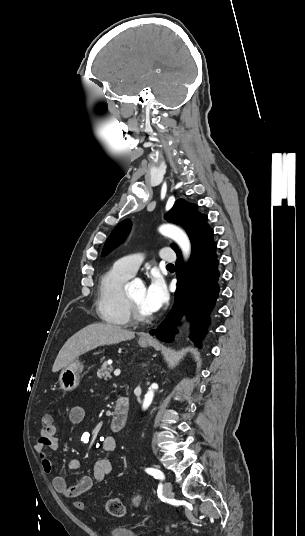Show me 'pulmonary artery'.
<instances>
[{
	"instance_id": "e3ab8cb5",
	"label": "pulmonary artery",
	"mask_w": 305,
	"mask_h": 536,
	"mask_svg": "<svg viewBox=\"0 0 305 536\" xmlns=\"http://www.w3.org/2000/svg\"><path fill=\"white\" fill-rule=\"evenodd\" d=\"M162 251L164 253L160 254V260L162 263L170 264L176 261V256L173 254L174 250L171 245H164ZM142 262L143 258L137 255H129L119 259L115 263V266L126 275L132 277L133 275H135Z\"/></svg>"
}]
</instances>
